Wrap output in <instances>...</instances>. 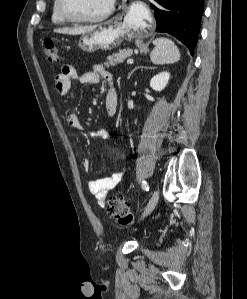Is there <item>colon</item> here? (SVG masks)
<instances>
[{
	"instance_id": "colon-1",
	"label": "colon",
	"mask_w": 247,
	"mask_h": 299,
	"mask_svg": "<svg viewBox=\"0 0 247 299\" xmlns=\"http://www.w3.org/2000/svg\"><path fill=\"white\" fill-rule=\"evenodd\" d=\"M44 51L49 63L59 61V53L52 39L44 40ZM108 213L110 217L121 225H130L134 220L130 204L122 198H113L108 202Z\"/></svg>"
}]
</instances>
